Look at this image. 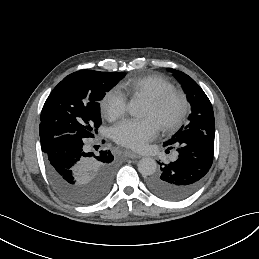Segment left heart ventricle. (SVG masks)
Wrapping results in <instances>:
<instances>
[{
    "mask_svg": "<svg viewBox=\"0 0 259 259\" xmlns=\"http://www.w3.org/2000/svg\"><path fill=\"white\" fill-rule=\"evenodd\" d=\"M174 114H175V107L172 106V107L168 108V109L165 111L164 116H165L166 118L170 119V118H172V117L174 116ZM145 117H154V118H156V117L154 116V109H153L152 105L150 104V102H149V104H148ZM156 119H157V118H156ZM157 121H158V120H157Z\"/></svg>",
    "mask_w": 259,
    "mask_h": 259,
    "instance_id": "1",
    "label": "left heart ventricle"
}]
</instances>
